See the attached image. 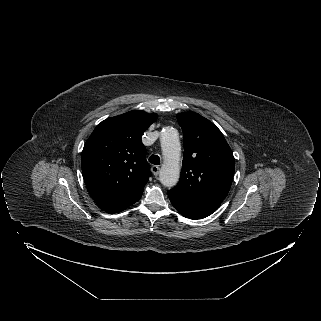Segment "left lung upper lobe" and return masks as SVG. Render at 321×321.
<instances>
[{
    "mask_svg": "<svg viewBox=\"0 0 321 321\" xmlns=\"http://www.w3.org/2000/svg\"><path fill=\"white\" fill-rule=\"evenodd\" d=\"M184 135L179 183L173 190L221 203L232 184L235 159L221 131L195 112L177 114Z\"/></svg>",
    "mask_w": 321,
    "mask_h": 321,
    "instance_id": "obj_1",
    "label": "left lung upper lobe"
}]
</instances>
